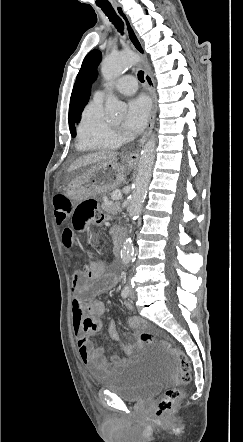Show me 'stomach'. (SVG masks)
<instances>
[{"mask_svg":"<svg viewBox=\"0 0 243 442\" xmlns=\"http://www.w3.org/2000/svg\"><path fill=\"white\" fill-rule=\"evenodd\" d=\"M134 166V162L123 159L97 163L79 177L71 180L66 187V193L72 200L82 201L96 197L115 189L123 180L126 171Z\"/></svg>","mask_w":243,"mask_h":442,"instance_id":"0dacf381","label":"stomach"}]
</instances>
